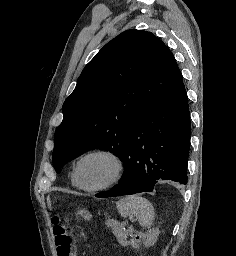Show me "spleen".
<instances>
[{
    "instance_id": "spleen-1",
    "label": "spleen",
    "mask_w": 236,
    "mask_h": 256,
    "mask_svg": "<svg viewBox=\"0 0 236 256\" xmlns=\"http://www.w3.org/2000/svg\"><path fill=\"white\" fill-rule=\"evenodd\" d=\"M116 208L122 218L136 216L141 226H150L153 220V206H151L148 200L140 198V196H128V198H123V200L117 202Z\"/></svg>"
}]
</instances>
